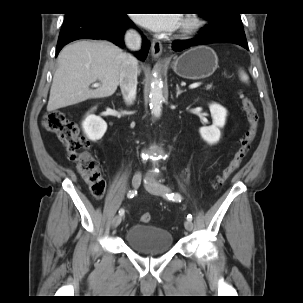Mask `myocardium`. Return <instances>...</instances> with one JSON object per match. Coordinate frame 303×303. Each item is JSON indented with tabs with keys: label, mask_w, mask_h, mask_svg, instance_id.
Wrapping results in <instances>:
<instances>
[{
	"label": "myocardium",
	"mask_w": 303,
	"mask_h": 303,
	"mask_svg": "<svg viewBox=\"0 0 303 303\" xmlns=\"http://www.w3.org/2000/svg\"><path fill=\"white\" fill-rule=\"evenodd\" d=\"M202 25L203 20L198 13H184L179 24V32L182 34H191Z\"/></svg>",
	"instance_id": "1"
}]
</instances>
